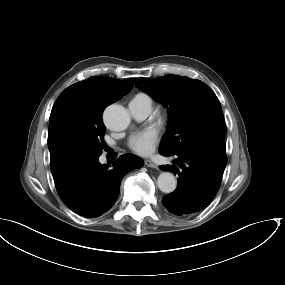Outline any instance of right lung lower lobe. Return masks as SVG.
I'll return each instance as SVG.
<instances>
[{
    "label": "right lung lower lobe",
    "mask_w": 285,
    "mask_h": 285,
    "mask_svg": "<svg viewBox=\"0 0 285 285\" xmlns=\"http://www.w3.org/2000/svg\"><path fill=\"white\" fill-rule=\"evenodd\" d=\"M99 157L74 163L52 173L64 204L78 215L98 217L108 211L119 195L124 174L143 166V160L124 154L111 163L100 164Z\"/></svg>",
    "instance_id": "obj_1"
}]
</instances>
